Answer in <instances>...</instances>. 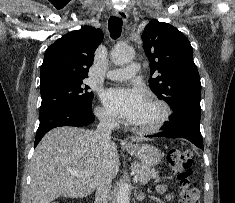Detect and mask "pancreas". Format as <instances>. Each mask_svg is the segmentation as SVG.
Segmentation results:
<instances>
[{"label":"pancreas","mask_w":235,"mask_h":203,"mask_svg":"<svg viewBox=\"0 0 235 203\" xmlns=\"http://www.w3.org/2000/svg\"><path fill=\"white\" fill-rule=\"evenodd\" d=\"M132 172L136 174L140 184H146L150 178L158 179V172L149 166L134 163L131 166Z\"/></svg>","instance_id":"cf45deb5"}]
</instances>
